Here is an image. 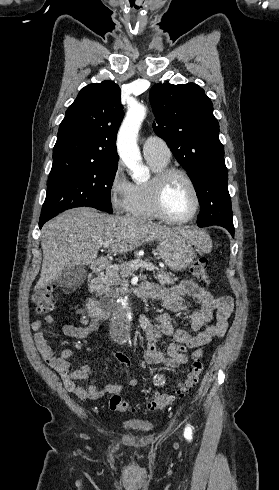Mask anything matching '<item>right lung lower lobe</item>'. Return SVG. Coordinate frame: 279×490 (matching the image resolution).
Masks as SVG:
<instances>
[{"label": "right lung lower lobe", "mask_w": 279, "mask_h": 490, "mask_svg": "<svg viewBox=\"0 0 279 490\" xmlns=\"http://www.w3.org/2000/svg\"><path fill=\"white\" fill-rule=\"evenodd\" d=\"M45 222H46V220H40L39 221V227H40V229L42 228V226L44 225Z\"/></svg>", "instance_id": "right-lung-lower-lobe-1"}]
</instances>
